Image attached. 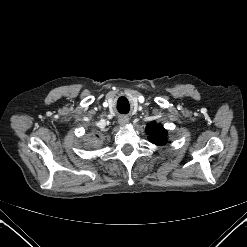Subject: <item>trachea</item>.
I'll return each mask as SVG.
<instances>
[{
	"instance_id": "obj_1",
	"label": "trachea",
	"mask_w": 247,
	"mask_h": 247,
	"mask_svg": "<svg viewBox=\"0 0 247 247\" xmlns=\"http://www.w3.org/2000/svg\"><path fill=\"white\" fill-rule=\"evenodd\" d=\"M120 113H127V111H120Z\"/></svg>"
}]
</instances>
